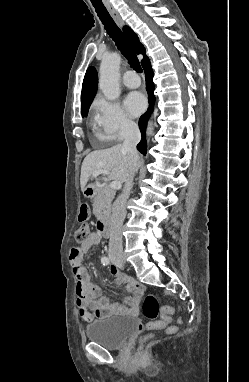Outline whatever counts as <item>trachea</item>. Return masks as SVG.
<instances>
[{
	"label": "trachea",
	"instance_id": "trachea-1",
	"mask_svg": "<svg viewBox=\"0 0 249 382\" xmlns=\"http://www.w3.org/2000/svg\"><path fill=\"white\" fill-rule=\"evenodd\" d=\"M91 1L108 35L112 38V40L117 45L118 49L128 60L130 66L137 72H142V68L140 66L137 55L135 54L134 50L132 49L130 43L128 42L124 34L121 32V30L118 28V26L110 16L104 4L102 2H94V0Z\"/></svg>",
	"mask_w": 249,
	"mask_h": 382
}]
</instances>
